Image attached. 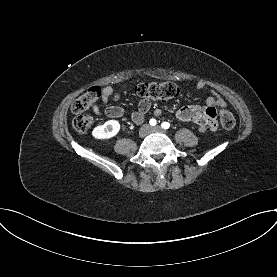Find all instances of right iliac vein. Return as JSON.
Instances as JSON below:
<instances>
[{
  "label": "right iliac vein",
  "mask_w": 277,
  "mask_h": 277,
  "mask_svg": "<svg viewBox=\"0 0 277 277\" xmlns=\"http://www.w3.org/2000/svg\"><path fill=\"white\" fill-rule=\"evenodd\" d=\"M149 131H150V128H149V126H143L141 129H140V131H139V135L141 136V137H144V136H146L148 133H149Z\"/></svg>",
  "instance_id": "63e3f726"
}]
</instances>
